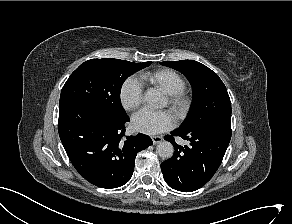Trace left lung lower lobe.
Listing matches in <instances>:
<instances>
[{"instance_id":"0a47b994","label":"left lung lower lobe","mask_w":292,"mask_h":224,"mask_svg":"<svg viewBox=\"0 0 292 224\" xmlns=\"http://www.w3.org/2000/svg\"><path fill=\"white\" fill-rule=\"evenodd\" d=\"M174 136L190 142L176 144ZM165 140L175 148L174 155L161 164L164 180L173 189L191 192L208 182L220 166L231 139V130L184 132L176 129Z\"/></svg>"}]
</instances>
